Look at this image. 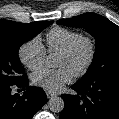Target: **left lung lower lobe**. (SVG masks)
<instances>
[{
	"label": "left lung lower lobe",
	"instance_id": "left-lung-lower-lobe-1",
	"mask_svg": "<svg viewBox=\"0 0 119 119\" xmlns=\"http://www.w3.org/2000/svg\"><path fill=\"white\" fill-rule=\"evenodd\" d=\"M76 95L63 94L60 119H119V81L74 84Z\"/></svg>",
	"mask_w": 119,
	"mask_h": 119
}]
</instances>
